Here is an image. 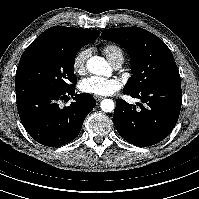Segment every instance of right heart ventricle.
I'll use <instances>...</instances> for the list:
<instances>
[{
  "label": "right heart ventricle",
  "mask_w": 199,
  "mask_h": 199,
  "mask_svg": "<svg viewBox=\"0 0 199 199\" xmlns=\"http://www.w3.org/2000/svg\"><path fill=\"white\" fill-rule=\"evenodd\" d=\"M102 52L111 64H114L118 60L124 61V53L122 49L115 44L104 46Z\"/></svg>",
  "instance_id": "1"
}]
</instances>
